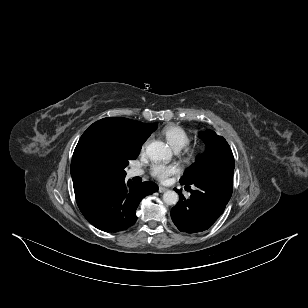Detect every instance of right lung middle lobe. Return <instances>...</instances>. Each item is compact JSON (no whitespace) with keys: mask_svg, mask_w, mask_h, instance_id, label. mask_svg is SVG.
Instances as JSON below:
<instances>
[{"mask_svg":"<svg viewBox=\"0 0 308 308\" xmlns=\"http://www.w3.org/2000/svg\"><path fill=\"white\" fill-rule=\"evenodd\" d=\"M155 125H154V130L157 128V124L156 123H154ZM135 159V158H134ZM128 165V161H126L125 163H124V165H123V168H125L126 166Z\"/></svg>","mask_w":308,"mask_h":308,"instance_id":"right-lung-middle-lobe-1","label":"right lung middle lobe"}]
</instances>
